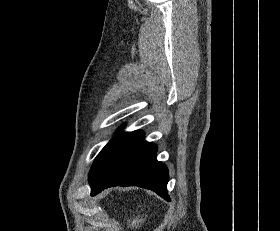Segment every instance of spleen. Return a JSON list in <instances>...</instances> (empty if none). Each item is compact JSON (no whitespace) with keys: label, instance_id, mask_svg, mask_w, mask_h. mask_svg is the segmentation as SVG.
<instances>
[{"label":"spleen","instance_id":"spleen-1","mask_svg":"<svg viewBox=\"0 0 280 231\" xmlns=\"http://www.w3.org/2000/svg\"><path fill=\"white\" fill-rule=\"evenodd\" d=\"M145 217H135V219H128V227H140L144 223Z\"/></svg>","mask_w":280,"mask_h":231}]
</instances>
